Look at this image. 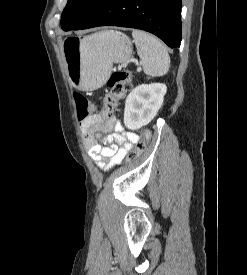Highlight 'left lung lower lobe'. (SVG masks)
Instances as JSON below:
<instances>
[{"mask_svg":"<svg viewBox=\"0 0 247 275\" xmlns=\"http://www.w3.org/2000/svg\"><path fill=\"white\" fill-rule=\"evenodd\" d=\"M120 26L145 30L169 47H180L181 0H104L79 28Z\"/></svg>","mask_w":247,"mask_h":275,"instance_id":"obj_1","label":"left lung lower lobe"}]
</instances>
